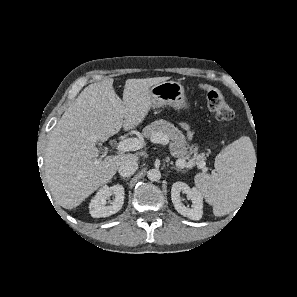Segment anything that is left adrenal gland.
<instances>
[{
  "label": "left adrenal gland",
  "mask_w": 297,
  "mask_h": 297,
  "mask_svg": "<svg viewBox=\"0 0 297 297\" xmlns=\"http://www.w3.org/2000/svg\"><path fill=\"white\" fill-rule=\"evenodd\" d=\"M174 169H176V170H180V168H178V167H174Z\"/></svg>",
  "instance_id": "left-adrenal-gland-1"
}]
</instances>
